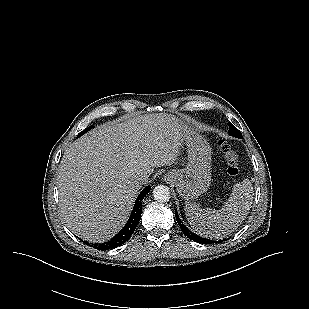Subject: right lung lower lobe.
I'll return each mask as SVG.
<instances>
[{"label": "right lung lower lobe", "instance_id": "98d812e1", "mask_svg": "<svg viewBox=\"0 0 309 309\" xmlns=\"http://www.w3.org/2000/svg\"><path fill=\"white\" fill-rule=\"evenodd\" d=\"M150 186H147L138 196L136 199V202L134 204L132 213L130 215V218L126 225L123 227V229L115 235L111 240L104 242V243H96V244H91L95 249L99 250H108V249H113L116 248L122 244H124L126 241L129 240L131 235L133 234L139 220L141 217V212H142V199L145 197V195L150 191ZM86 245H89L88 242L83 241Z\"/></svg>", "mask_w": 309, "mask_h": 309}]
</instances>
